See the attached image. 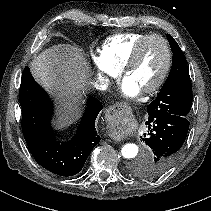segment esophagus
I'll list each match as a JSON object with an SVG mask.
<instances>
[{
	"label": "esophagus",
	"mask_w": 211,
	"mask_h": 211,
	"mask_svg": "<svg viewBox=\"0 0 211 211\" xmlns=\"http://www.w3.org/2000/svg\"><path fill=\"white\" fill-rule=\"evenodd\" d=\"M125 108H127L125 105L117 103V104H114V105L110 106L108 111L109 112H117V111L123 110ZM109 136L111 138L115 139V140L118 139L116 136H113L112 134H109Z\"/></svg>",
	"instance_id": "34e87169"
}]
</instances>
